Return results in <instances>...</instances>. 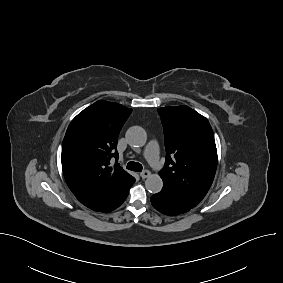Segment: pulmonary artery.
<instances>
[{
	"instance_id": "1",
	"label": "pulmonary artery",
	"mask_w": 283,
	"mask_h": 283,
	"mask_svg": "<svg viewBox=\"0 0 283 283\" xmlns=\"http://www.w3.org/2000/svg\"><path fill=\"white\" fill-rule=\"evenodd\" d=\"M144 156L147 161L156 169L161 167V162L159 159V146L156 140H151L144 151Z\"/></svg>"
}]
</instances>
